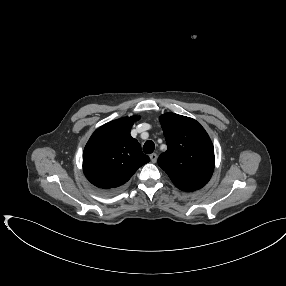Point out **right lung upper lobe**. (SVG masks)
Masks as SVG:
<instances>
[{
    "instance_id": "cb5924a9",
    "label": "right lung upper lobe",
    "mask_w": 286,
    "mask_h": 286,
    "mask_svg": "<svg viewBox=\"0 0 286 286\" xmlns=\"http://www.w3.org/2000/svg\"><path fill=\"white\" fill-rule=\"evenodd\" d=\"M139 117H124L98 128L83 152V172L86 178L104 192L125 184L138 168L150 161L142 153L130 130Z\"/></svg>"
}]
</instances>
